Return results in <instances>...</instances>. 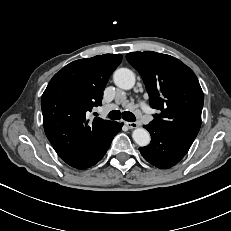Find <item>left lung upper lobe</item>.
<instances>
[{"instance_id":"5c2ea615","label":"left lung upper lobe","mask_w":231,"mask_h":231,"mask_svg":"<svg viewBox=\"0 0 231 231\" xmlns=\"http://www.w3.org/2000/svg\"><path fill=\"white\" fill-rule=\"evenodd\" d=\"M126 58L142 76L151 107L160 110L150 124L192 145L204 103L194 72L180 60L152 51L131 52Z\"/></svg>"}]
</instances>
